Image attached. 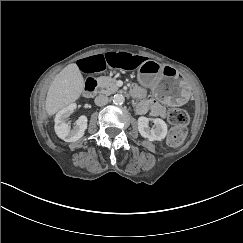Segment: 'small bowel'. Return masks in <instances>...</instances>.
I'll list each match as a JSON object with an SVG mask.
<instances>
[{"label":"small bowel","mask_w":243,"mask_h":243,"mask_svg":"<svg viewBox=\"0 0 243 243\" xmlns=\"http://www.w3.org/2000/svg\"><path fill=\"white\" fill-rule=\"evenodd\" d=\"M145 61L141 55L128 52H106L86 57L79 61V67L86 73H95L107 68L133 70ZM134 94L142 97L143 90L135 87ZM137 111L140 114L150 112L153 116H164L165 108L153 99H146L138 104Z\"/></svg>","instance_id":"obj_1"}]
</instances>
